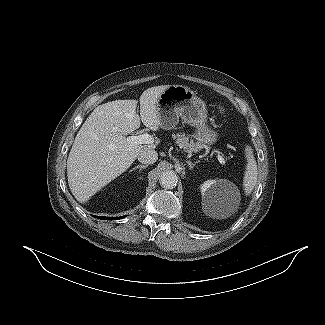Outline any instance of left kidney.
I'll list each match as a JSON object with an SVG mask.
<instances>
[{
	"label": "left kidney",
	"mask_w": 325,
	"mask_h": 325,
	"mask_svg": "<svg viewBox=\"0 0 325 325\" xmlns=\"http://www.w3.org/2000/svg\"><path fill=\"white\" fill-rule=\"evenodd\" d=\"M232 184L227 180H207L201 185L203 202L211 203L217 207H223V200L229 195Z\"/></svg>",
	"instance_id": "obj_1"
}]
</instances>
